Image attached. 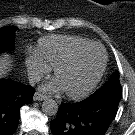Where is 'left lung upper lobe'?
I'll list each match as a JSON object with an SVG mask.
<instances>
[{"instance_id":"5c2ea615","label":"left lung upper lobe","mask_w":135,"mask_h":135,"mask_svg":"<svg viewBox=\"0 0 135 135\" xmlns=\"http://www.w3.org/2000/svg\"><path fill=\"white\" fill-rule=\"evenodd\" d=\"M101 88H121L119 82V72H114L110 79Z\"/></svg>"}]
</instances>
